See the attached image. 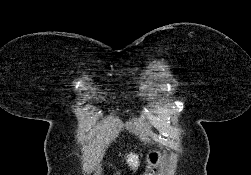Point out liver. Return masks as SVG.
<instances>
[{"label":"liver","instance_id":"6515ba94","mask_svg":"<svg viewBox=\"0 0 251 175\" xmlns=\"http://www.w3.org/2000/svg\"><path fill=\"white\" fill-rule=\"evenodd\" d=\"M126 157H127L126 161L128 165H130L131 169H135L136 171L138 165H140L139 155H137V153H132V151H129Z\"/></svg>","mask_w":251,"mask_h":175}]
</instances>
